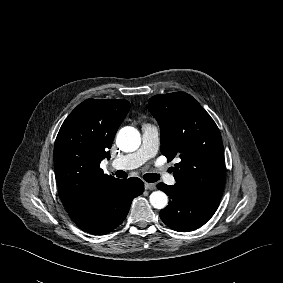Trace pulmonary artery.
I'll use <instances>...</instances> for the list:
<instances>
[{"label": "pulmonary artery", "instance_id": "pulmonary-artery-1", "mask_svg": "<svg viewBox=\"0 0 283 283\" xmlns=\"http://www.w3.org/2000/svg\"><path fill=\"white\" fill-rule=\"evenodd\" d=\"M158 145V127L152 124H144L142 126V140L140 148L134 153L114 159L111 162V165L117 169L137 168L156 155ZM159 174V176H164L165 181L168 184H175V178L171 174L166 173L164 169H161Z\"/></svg>", "mask_w": 283, "mask_h": 283}]
</instances>
